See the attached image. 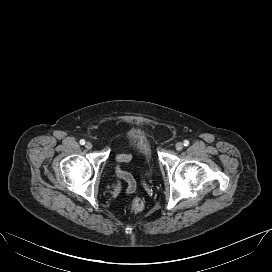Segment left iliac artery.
Instances as JSON below:
<instances>
[{
	"mask_svg": "<svg viewBox=\"0 0 272 272\" xmlns=\"http://www.w3.org/2000/svg\"><path fill=\"white\" fill-rule=\"evenodd\" d=\"M183 145L184 146H188L189 145V141L188 140H184Z\"/></svg>",
	"mask_w": 272,
	"mask_h": 272,
	"instance_id": "obj_1",
	"label": "left iliac artery"
}]
</instances>
